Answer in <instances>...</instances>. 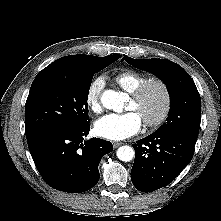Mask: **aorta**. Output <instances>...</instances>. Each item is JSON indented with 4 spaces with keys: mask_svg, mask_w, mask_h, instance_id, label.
I'll use <instances>...</instances> for the list:
<instances>
[{
    "mask_svg": "<svg viewBox=\"0 0 221 221\" xmlns=\"http://www.w3.org/2000/svg\"><path fill=\"white\" fill-rule=\"evenodd\" d=\"M125 100V93L114 90H106L101 97L103 106L115 112H122ZM134 154V149L127 145L119 147L116 152L118 159L124 162L131 161Z\"/></svg>",
    "mask_w": 221,
    "mask_h": 221,
    "instance_id": "1",
    "label": "aorta"
}]
</instances>
